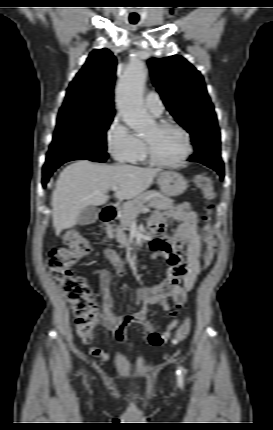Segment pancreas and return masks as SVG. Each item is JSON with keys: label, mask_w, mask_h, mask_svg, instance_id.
<instances>
[{"label": "pancreas", "mask_w": 273, "mask_h": 430, "mask_svg": "<svg viewBox=\"0 0 273 430\" xmlns=\"http://www.w3.org/2000/svg\"><path fill=\"white\" fill-rule=\"evenodd\" d=\"M146 203H149L150 206L156 209L162 210L169 209L173 206V200L164 196L157 190L146 191L140 194L134 200L126 202L119 217L121 224L116 228H112V226L108 228V233L115 237L117 242L123 245L127 244L128 238L124 231L136 219L137 215L146 207Z\"/></svg>", "instance_id": "1"}]
</instances>
